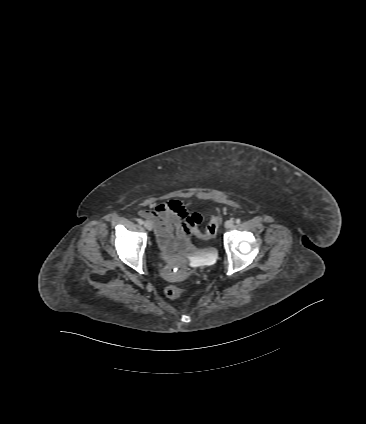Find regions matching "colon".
Listing matches in <instances>:
<instances>
[{"mask_svg": "<svg viewBox=\"0 0 366 424\" xmlns=\"http://www.w3.org/2000/svg\"><path fill=\"white\" fill-rule=\"evenodd\" d=\"M202 222V216L198 212H193L190 214H186L183 223L186 232L190 235L193 234L199 239H210L215 236L219 224L221 222L220 217H213L208 224L206 225L204 230L200 229V224ZM188 292V288L185 285L174 284L170 285L166 289V293L171 298H178L186 295Z\"/></svg>", "mask_w": 366, "mask_h": 424, "instance_id": "1", "label": "colon"}]
</instances>
